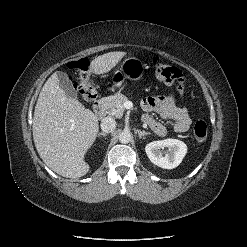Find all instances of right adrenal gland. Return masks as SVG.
Instances as JSON below:
<instances>
[{
  "label": "right adrenal gland",
  "mask_w": 247,
  "mask_h": 247,
  "mask_svg": "<svg viewBox=\"0 0 247 247\" xmlns=\"http://www.w3.org/2000/svg\"><path fill=\"white\" fill-rule=\"evenodd\" d=\"M107 135H108V134H106V133H104V132H101V133L98 134V137H100V136L106 137Z\"/></svg>",
  "instance_id": "1"
}]
</instances>
